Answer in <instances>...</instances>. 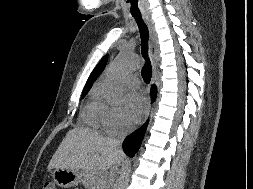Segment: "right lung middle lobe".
Listing matches in <instances>:
<instances>
[{
  "instance_id": "1",
  "label": "right lung middle lobe",
  "mask_w": 253,
  "mask_h": 189,
  "mask_svg": "<svg viewBox=\"0 0 253 189\" xmlns=\"http://www.w3.org/2000/svg\"><path fill=\"white\" fill-rule=\"evenodd\" d=\"M88 91L89 90H83L82 97H84L88 93Z\"/></svg>"
}]
</instances>
